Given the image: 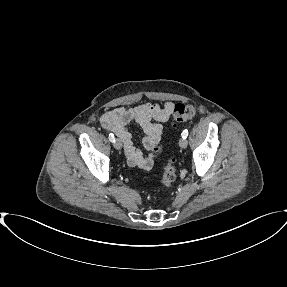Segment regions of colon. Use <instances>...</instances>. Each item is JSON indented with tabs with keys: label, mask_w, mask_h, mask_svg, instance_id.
I'll return each instance as SVG.
<instances>
[{
	"label": "colon",
	"mask_w": 287,
	"mask_h": 287,
	"mask_svg": "<svg viewBox=\"0 0 287 287\" xmlns=\"http://www.w3.org/2000/svg\"><path fill=\"white\" fill-rule=\"evenodd\" d=\"M172 127L175 128L178 123L193 118L196 114V109L189 104H176L173 108ZM155 152L159 151L158 147L154 148ZM176 179V168L174 159H171L164 167L160 182L164 187H169Z\"/></svg>",
	"instance_id": "obj_1"
}]
</instances>
